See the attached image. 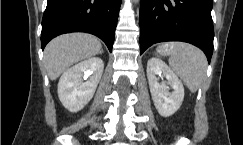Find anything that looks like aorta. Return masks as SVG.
<instances>
[{
    "label": "aorta",
    "mask_w": 243,
    "mask_h": 145,
    "mask_svg": "<svg viewBox=\"0 0 243 145\" xmlns=\"http://www.w3.org/2000/svg\"><path fill=\"white\" fill-rule=\"evenodd\" d=\"M134 2L136 3V2H138V0H135Z\"/></svg>",
    "instance_id": "aorta-1"
}]
</instances>
